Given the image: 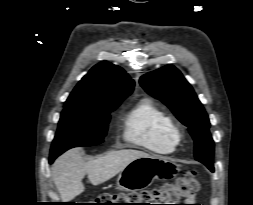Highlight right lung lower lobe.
Instances as JSON below:
<instances>
[{
    "label": "right lung lower lobe",
    "mask_w": 253,
    "mask_h": 205,
    "mask_svg": "<svg viewBox=\"0 0 253 205\" xmlns=\"http://www.w3.org/2000/svg\"><path fill=\"white\" fill-rule=\"evenodd\" d=\"M56 157L55 156H50V163H52Z\"/></svg>",
    "instance_id": "98d812e1"
}]
</instances>
